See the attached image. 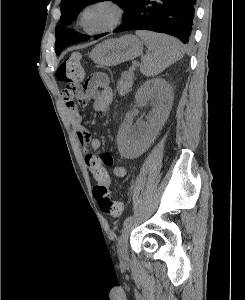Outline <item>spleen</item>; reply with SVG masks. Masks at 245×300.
Wrapping results in <instances>:
<instances>
[{"label": "spleen", "instance_id": "1", "mask_svg": "<svg viewBox=\"0 0 245 300\" xmlns=\"http://www.w3.org/2000/svg\"><path fill=\"white\" fill-rule=\"evenodd\" d=\"M136 34L151 51V54L143 57L140 66L145 76L150 77L161 73L185 54L183 45L173 37L150 31H137Z\"/></svg>", "mask_w": 245, "mask_h": 300}]
</instances>
